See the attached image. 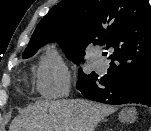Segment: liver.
<instances>
[{
	"label": "liver",
	"instance_id": "6515ba94",
	"mask_svg": "<svg viewBox=\"0 0 151 131\" xmlns=\"http://www.w3.org/2000/svg\"><path fill=\"white\" fill-rule=\"evenodd\" d=\"M112 106L84 99L40 101L16 117L9 131H94L97 124L113 113ZM137 112H124L123 121L134 122Z\"/></svg>",
	"mask_w": 151,
	"mask_h": 131
}]
</instances>
